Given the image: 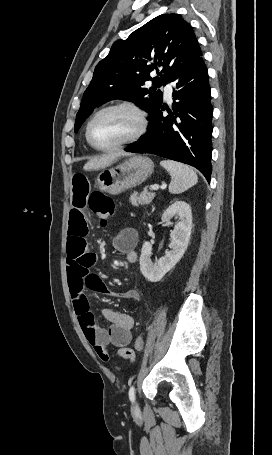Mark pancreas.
I'll return each instance as SVG.
<instances>
[{
    "label": "pancreas",
    "instance_id": "obj_1",
    "mask_svg": "<svg viewBox=\"0 0 272 455\" xmlns=\"http://www.w3.org/2000/svg\"><path fill=\"white\" fill-rule=\"evenodd\" d=\"M155 197V193L148 191L147 188H145L139 195L133 194L130 197V202L134 206L138 205H147L152 202V200Z\"/></svg>",
    "mask_w": 272,
    "mask_h": 455
}]
</instances>
